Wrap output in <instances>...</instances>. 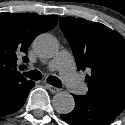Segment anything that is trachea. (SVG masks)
<instances>
[{
  "label": "trachea",
  "instance_id": "obj_1",
  "mask_svg": "<svg viewBox=\"0 0 125 125\" xmlns=\"http://www.w3.org/2000/svg\"><path fill=\"white\" fill-rule=\"evenodd\" d=\"M23 75L32 80H40L42 77L41 73L38 70L24 72ZM47 82L54 87H58V88L62 87V83H61L60 79L57 78L56 76H49L47 78Z\"/></svg>",
  "mask_w": 125,
  "mask_h": 125
}]
</instances>
